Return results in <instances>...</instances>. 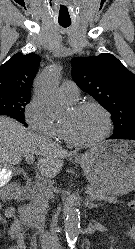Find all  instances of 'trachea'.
Returning a JSON list of instances; mask_svg holds the SVG:
<instances>
[{"instance_id": "3493384b", "label": "trachea", "mask_w": 135, "mask_h": 249, "mask_svg": "<svg viewBox=\"0 0 135 249\" xmlns=\"http://www.w3.org/2000/svg\"><path fill=\"white\" fill-rule=\"evenodd\" d=\"M59 24L64 28H67L71 25V23H62V22H60Z\"/></svg>"}]
</instances>
